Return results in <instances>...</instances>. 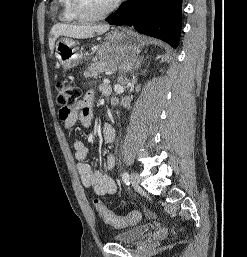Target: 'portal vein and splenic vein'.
Instances as JSON below:
<instances>
[{
    "mask_svg": "<svg viewBox=\"0 0 247 257\" xmlns=\"http://www.w3.org/2000/svg\"><path fill=\"white\" fill-rule=\"evenodd\" d=\"M105 74H106V75H111L112 72H111V71H106Z\"/></svg>",
    "mask_w": 247,
    "mask_h": 257,
    "instance_id": "portal-vein-and-splenic-vein-1",
    "label": "portal vein and splenic vein"
}]
</instances>
